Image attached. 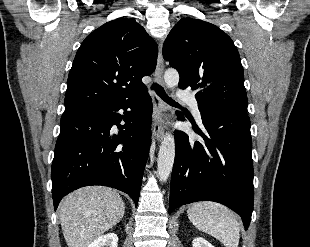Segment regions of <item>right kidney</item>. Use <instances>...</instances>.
<instances>
[{"instance_id":"right-kidney-1","label":"right kidney","mask_w":310,"mask_h":247,"mask_svg":"<svg viewBox=\"0 0 310 247\" xmlns=\"http://www.w3.org/2000/svg\"><path fill=\"white\" fill-rule=\"evenodd\" d=\"M118 237L115 233H108L96 238L88 247H117Z\"/></svg>"}]
</instances>
